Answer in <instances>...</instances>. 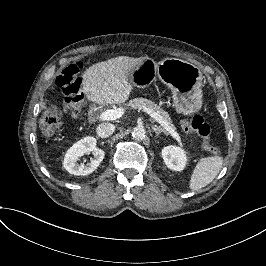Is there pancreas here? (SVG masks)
Returning a JSON list of instances; mask_svg holds the SVG:
<instances>
[{
  "label": "pancreas",
  "mask_w": 266,
  "mask_h": 266,
  "mask_svg": "<svg viewBox=\"0 0 266 266\" xmlns=\"http://www.w3.org/2000/svg\"><path fill=\"white\" fill-rule=\"evenodd\" d=\"M130 106L137 109V110H144L145 112H154L165 121L171 123V117L168 112L163 110L160 106L154 104L152 101L147 99H136L130 103ZM173 129L177 131L175 126H172Z\"/></svg>",
  "instance_id": "obj_1"
}]
</instances>
